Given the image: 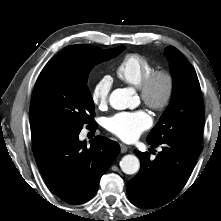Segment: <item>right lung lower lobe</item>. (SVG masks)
Returning <instances> with one entry per match:
<instances>
[{
    "instance_id": "right-lung-lower-lobe-1",
    "label": "right lung lower lobe",
    "mask_w": 221,
    "mask_h": 221,
    "mask_svg": "<svg viewBox=\"0 0 221 221\" xmlns=\"http://www.w3.org/2000/svg\"><path fill=\"white\" fill-rule=\"evenodd\" d=\"M80 130L52 127L32 131V145L39 170L54 193L70 204L90 200L101 176L118 156L115 141L96 136L87 147Z\"/></svg>"
}]
</instances>
